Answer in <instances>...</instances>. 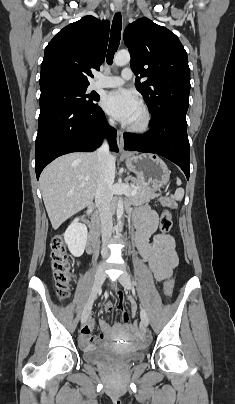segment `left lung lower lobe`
<instances>
[{"instance_id":"obj_1","label":"left lung lower lobe","mask_w":235,"mask_h":404,"mask_svg":"<svg viewBox=\"0 0 235 404\" xmlns=\"http://www.w3.org/2000/svg\"><path fill=\"white\" fill-rule=\"evenodd\" d=\"M145 134L124 133L125 150L159 154L177 164L189 179L190 145L186 113L163 112L152 118Z\"/></svg>"}]
</instances>
